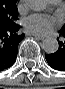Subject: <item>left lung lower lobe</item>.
I'll use <instances>...</instances> for the list:
<instances>
[{"label":"left lung lower lobe","mask_w":65,"mask_h":89,"mask_svg":"<svg viewBox=\"0 0 65 89\" xmlns=\"http://www.w3.org/2000/svg\"><path fill=\"white\" fill-rule=\"evenodd\" d=\"M60 34L64 39L62 41L58 40L59 49L53 54H46L45 58L52 68L65 71V31L60 30Z\"/></svg>","instance_id":"obj_1"}]
</instances>
